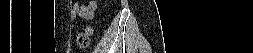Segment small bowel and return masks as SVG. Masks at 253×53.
Wrapping results in <instances>:
<instances>
[{
  "mask_svg": "<svg viewBox=\"0 0 253 53\" xmlns=\"http://www.w3.org/2000/svg\"><path fill=\"white\" fill-rule=\"evenodd\" d=\"M97 7L96 1H88L87 3L83 1H78L72 9V15L74 17L91 18Z\"/></svg>",
  "mask_w": 253,
  "mask_h": 53,
  "instance_id": "obj_1",
  "label": "small bowel"
}]
</instances>
